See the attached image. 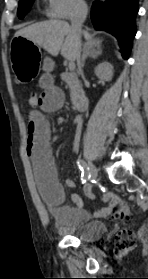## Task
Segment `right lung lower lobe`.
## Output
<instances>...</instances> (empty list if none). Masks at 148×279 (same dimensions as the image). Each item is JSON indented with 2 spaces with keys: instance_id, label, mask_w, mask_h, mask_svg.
Listing matches in <instances>:
<instances>
[{
  "instance_id": "right-lung-lower-lobe-1",
  "label": "right lung lower lobe",
  "mask_w": 148,
  "mask_h": 279,
  "mask_svg": "<svg viewBox=\"0 0 148 279\" xmlns=\"http://www.w3.org/2000/svg\"><path fill=\"white\" fill-rule=\"evenodd\" d=\"M139 0L95 1L91 9V20L97 30L113 34L120 43L122 57H129L136 34V15Z\"/></svg>"
}]
</instances>
